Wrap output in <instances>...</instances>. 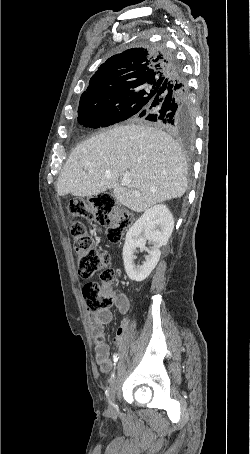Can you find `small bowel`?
<instances>
[{"label":"small bowel","mask_w":250,"mask_h":454,"mask_svg":"<svg viewBox=\"0 0 250 454\" xmlns=\"http://www.w3.org/2000/svg\"><path fill=\"white\" fill-rule=\"evenodd\" d=\"M115 307L121 313H127L131 307L130 297L123 292H118L115 295ZM112 315L110 311H102L93 313L91 317V329L94 337L95 359L102 373H109L112 370V360L110 359V348L106 343V325L111 321ZM130 320L123 319L117 333L114 337L116 345H122L126 333L128 331Z\"/></svg>","instance_id":"1"}]
</instances>
